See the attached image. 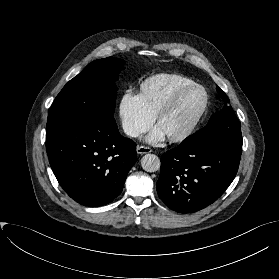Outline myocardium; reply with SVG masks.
Returning <instances> with one entry per match:
<instances>
[{"mask_svg":"<svg viewBox=\"0 0 279 279\" xmlns=\"http://www.w3.org/2000/svg\"><path fill=\"white\" fill-rule=\"evenodd\" d=\"M200 89L204 93V101L203 104L192 120V122L189 124V126L183 130L181 133L176 135L167 136L168 140L173 143H180L188 139L196 130L199 123L201 122L204 114L206 113V110L208 108L209 104V94L206 90V88L200 84H193L190 86H186L182 89H180L166 104L165 106L157 113L155 116V121L157 126L160 124V122L168 116L180 103V101L184 98L185 95H187L189 92Z\"/></svg>","mask_w":279,"mask_h":279,"instance_id":"myocardium-1","label":"myocardium"}]
</instances>
